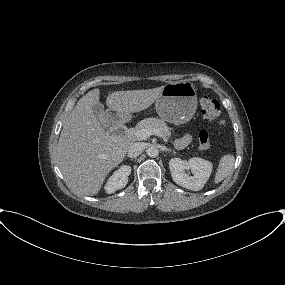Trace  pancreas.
Instances as JSON below:
<instances>
[{
    "instance_id": "obj_1",
    "label": "pancreas",
    "mask_w": 285,
    "mask_h": 285,
    "mask_svg": "<svg viewBox=\"0 0 285 285\" xmlns=\"http://www.w3.org/2000/svg\"><path fill=\"white\" fill-rule=\"evenodd\" d=\"M142 128L158 129L163 134V137L167 139L172 135V128L167 126V123L164 120L158 118H146L127 131L128 137L136 140L135 133Z\"/></svg>"
}]
</instances>
